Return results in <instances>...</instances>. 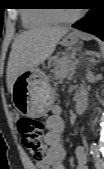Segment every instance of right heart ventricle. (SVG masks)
<instances>
[{"mask_svg":"<svg viewBox=\"0 0 104 169\" xmlns=\"http://www.w3.org/2000/svg\"><path fill=\"white\" fill-rule=\"evenodd\" d=\"M22 20L26 27L33 28L56 23L53 16L44 9L27 10L22 13Z\"/></svg>","mask_w":104,"mask_h":169,"instance_id":"1","label":"right heart ventricle"}]
</instances>
